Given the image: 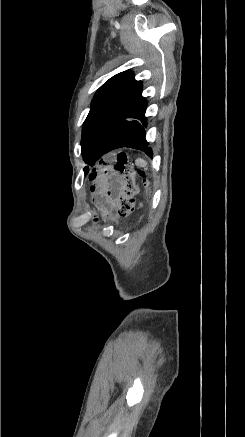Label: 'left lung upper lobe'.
<instances>
[{
	"label": "left lung upper lobe",
	"mask_w": 245,
	"mask_h": 437,
	"mask_svg": "<svg viewBox=\"0 0 245 437\" xmlns=\"http://www.w3.org/2000/svg\"><path fill=\"white\" fill-rule=\"evenodd\" d=\"M141 90L142 83L134 79L131 71L113 76L98 89L82 127L81 152L85 163L95 164L112 127Z\"/></svg>",
	"instance_id": "5c2ea615"
}]
</instances>
